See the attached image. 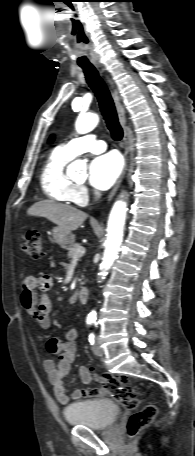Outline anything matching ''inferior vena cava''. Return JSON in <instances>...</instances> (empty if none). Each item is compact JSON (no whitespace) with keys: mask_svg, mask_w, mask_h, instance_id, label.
Masks as SVG:
<instances>
[{"mask_svg":"<svg viewBox=\"0 0 195 456\" xmlns=\"http://www.w3.org/2000/svg\"><path fill=\"white\" fill-rule=\"evenodd\" d=\"M94 194H95V200H98L101 197V193L97 190L94 192Z\"/></svg>","mask_w":195,"mask_h":456,"instance_id":"602c4592","label":"inferior vena cava"}]
</instances>
